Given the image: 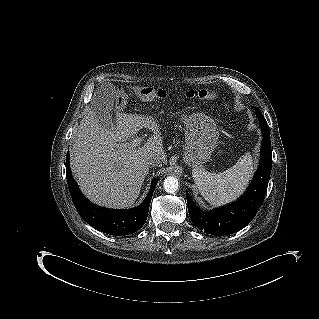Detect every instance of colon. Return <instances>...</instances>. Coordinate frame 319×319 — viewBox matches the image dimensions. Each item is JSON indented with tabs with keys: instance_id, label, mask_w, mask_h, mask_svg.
<instances>
[{
	"instance_id": "colon-1",
	"label": "colon",
	"mask_w": 319,
	"mask_h": 319,
	"mask_svg": "<svg viewBox=\"0 0 319 319\" xmlns=\"http://www.w3.org/2000/svg\"><path fill=\"white\" fill-rule=\"evenodd\" d=\"M128 92L135 94L144 101H153L166 97L164 90L155 89L154 87L143 85L136 86L126 91L120 88L116 96V105L119 109H123L127 103ZM185 97L188 99L212 100L215 94L208 90H188L185 92Z\"/></svg>"
}]
</instances>
